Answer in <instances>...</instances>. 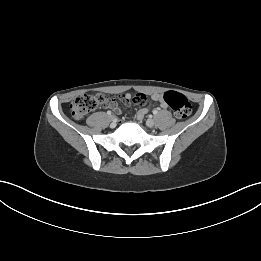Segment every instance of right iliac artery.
Masks as SVG:
<instances>
[{
	"mask_svg": "<svg viewBox=\"0 0 261 261\" xmlns=\"http://www.w3.org/2000/svg\"><path fill=\"white\" fill-rule=\"evenodd\" d=\"M107 114H108V115H111L112 113H111V111H107Z\"/></svg>",
	"mask_w": 261,
	"mask_h": 261,
	"instance_id": "82829eb1",
	"label": "right iliac artery"
}]
</instances>
